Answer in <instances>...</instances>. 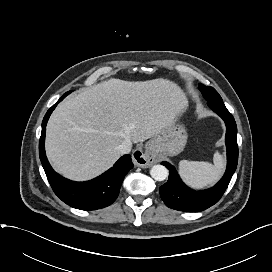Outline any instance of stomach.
I'll return each instance as SVG.
<instances>
[{"mask_svg":"<svg viewBox=\"0 0 272 272\" xmlns=\"http://www.w3.org/2000/svg\"><path fill=\"white\" fill-rule=\"evenodd\" d=\"M187 138L184 126L174 121L147 142L146 151L155 157L175 156L184 150Z\"/></svg>","mask_w":272,"mask_h":272,"instance_id":"obj_1","label":"stomach"}]
</instances>
